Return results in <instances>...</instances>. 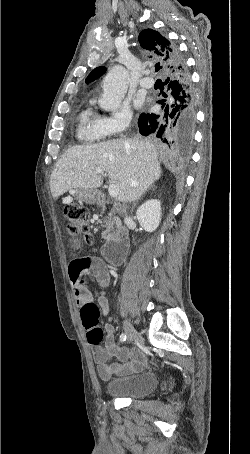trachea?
I'll return each instance as SVG.
<instances>
[{
  "label": "trachea",
  "mask_w": 250,
  "mask_h": 454,
  "mask_svg": "<svg viewBox=\"0 0 250 454\" xmlns=\"http://www.w3.org/2000/svg\"><path fill=\"white\" fill-rule=\"evenodd\" d=\"M159 69H160L159 65H156V71L159 70Z\"/></svg>",
  "instance_id": "3493384b"
}]
</instances>
